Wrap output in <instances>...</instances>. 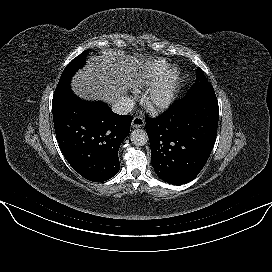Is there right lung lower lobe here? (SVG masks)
<instances>
[{"mask_svg":"<svg viewBox=\"0 0 272 272\" xmlns=\"http://www.w3.org/2000/svg\"><path fill=\"white\" fill-rule=\"evenodd\" d=\"M56 137L63 155L82 177L106 181L120 169L118 149L132 117L114 113L103 102H87L72 91L52 104Z\"/></svg>","mask_w":272,"mask_h":272,"instance_id":"obj_1","label":"right lung lower lobe"}]
</instances>
